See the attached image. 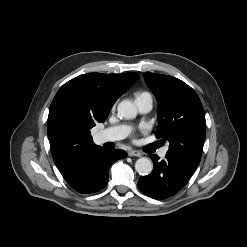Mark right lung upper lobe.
<instances>
[{
  "mask_svg": "<svg viewBox=\"0 0 247 247\" xmlns=\"http://www.w3.org/2000/svg\"><path fill=\"white\" fill-rule=\"evenodd\" d=\"M139 74L89 73L65 83L50 106L47 130L54 162L61 173L80 156L99 148L91 133L67 128L65 115L71 113L80 121L104 122L115 101L139 79Z\"/></svg>",
  "mask_w": 247,
  "mask_h": 247,
  "instance_id": "obj_1",
  "label": "right lung upper lobe"
}]
</instances>
